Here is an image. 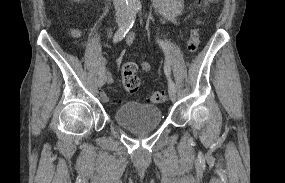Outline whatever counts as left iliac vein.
Masks as SVG:
<instances>
[{"instance_id":"1","label":"left iliac vein","mask_w":285,"mask_h":183,"mask_svg":"<svg viewBox=\"0 0 285 183\" xmlns=\"http://www.w3.org/2000/svg\"><path fill=\"white\" fill-rule=\"evenodd\" d=\"M169 95H170V99L172 102H175L177 99V94H176V90L169 88Z\"/></svg>"}]
</instances>
